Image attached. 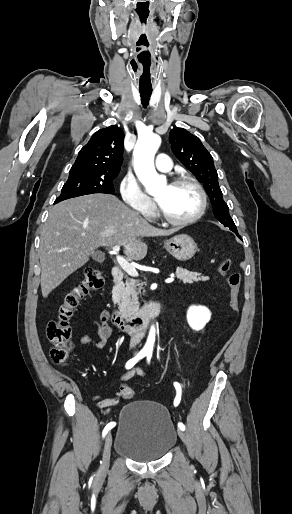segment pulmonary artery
<instances>
[{
  "instance_id": "1",
  "label": "pulmonary artery",
  "mask_w": 292,
  "mask_h": 514,
  "mask_svg": "<svg viewBox=\"0 0 292 514\" xmlns=\"http://www.w3.org/2000/svg\"><path fill=\"white\" fill-rule=\"evenodd\" d=\"M156 157L158 160H160L156 164V169L159 172H169L171 170V165L173 163L172 158L167 156L166 152L163 150L158 151Z\"/></svg>"
}]
</instances>
